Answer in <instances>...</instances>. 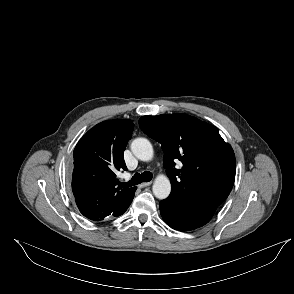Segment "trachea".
<instances>
[{"label": "trachea", "mask_w": 294, "mask_h": 294, "mask_svg": "<svg viewBox=\"0 0 294 294\" xmlns=\"http://www.w3.org/2000/svg\"><path fill=\"white\" fill-rule=\"evenodd\" d=\"M152 177H153L152 173L149 172V171H144L141 174L136 173L129 182L121 183V186L122 187H130V186H133V185L140 184L143 181L144 182H149V181H151Z\"/></svg>", "instance_id": "trachea-1"}]
</instances>
